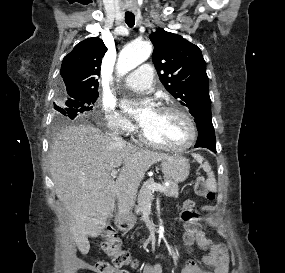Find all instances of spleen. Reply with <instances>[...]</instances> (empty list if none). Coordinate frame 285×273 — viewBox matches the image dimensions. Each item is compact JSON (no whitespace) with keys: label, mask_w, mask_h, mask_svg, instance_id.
Instances as JSON below:
<instances>
[{"label":"spleen","mask_w":285,"mask_h":273,"mask_svg":"<svg viewBox=\"0 0 285 273\" xmlns=\"http://www.w3.org/2000/svg\"><path fill=\"white\" fill-rule=\"evenodd\" d=\"M193 157L197 160V162H199L200 164H202V162L204 161V158L202 156H200L199 154H193ZM204 171L207 173L208 175V180H207V184L210 190H216L217 185H216V180H215V176H214V172L211 170V166L210 164L206 161L204 162V164L202 165Z\"/></svg>","instance_id":"spleen-1"}]
</instances>
